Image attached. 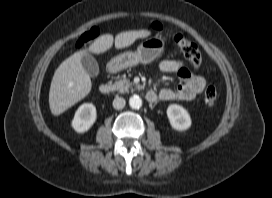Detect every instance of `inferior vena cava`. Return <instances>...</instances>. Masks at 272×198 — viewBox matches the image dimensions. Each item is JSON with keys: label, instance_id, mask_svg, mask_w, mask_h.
I'll use <instances>...</instances> for the list:
<instances>
[{"label": "inferior vena cava", "instance_id": "1", "mask_svg": "<svg viewBox=\"0 0 272 198\" xmlns=\"http://www.w3.org/2000/svg\"><path fill=\"white\" fill-rule=\"evenodd\" d=\"M125 104H126L125 99L122 97H116L113 100V107L115 109H118V110L123 109L125 107Z\"/></svg>", "mask_w": 272, "mask_h": 198}]
</instances>
